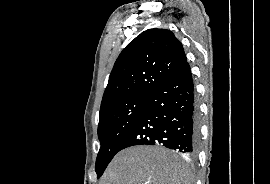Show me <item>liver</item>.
Listing matches in <instances>:
<instances>
[{"label":"liver","mask_w":270,"mask_h":184,"mask_svg":"<svg viewBox=\"0 0 270 184\" xmlns=\"http://www.w3.org/2000/svg\"><path fill=\"white\" fill-rule=\"evenodd\" d=\"M186 166L162 147L134 146L120 151L99 184H189Z\"/></svg>","instance_id":"6515ba94"}]
</instances>
